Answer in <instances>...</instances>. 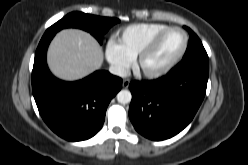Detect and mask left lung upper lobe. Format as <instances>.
Returning a JSON list of instances; mask_svg holds the SVG:
<instances>
[{"label": "left lung upper lobe", "instance_id": "5c2ea615", "mask_svg": "<svg viewBox=\"0 0 248 165\" xmlns=\"http://www.w3.org/2000/svg\"><path fill=\"white\" fill-rule=\"evenodd\" d=\"M185 29L189 33V43L184 57L190 56L196 52L205 51V48L203 47L202 42L198 36L190 28L185 26Z\"/></svg>", "mask_w": 248, "mask_h": 165}]
</instances>
